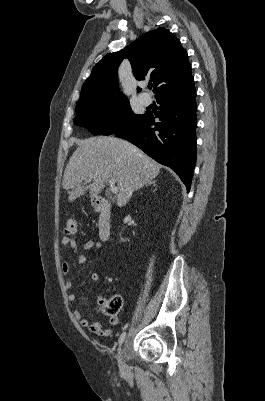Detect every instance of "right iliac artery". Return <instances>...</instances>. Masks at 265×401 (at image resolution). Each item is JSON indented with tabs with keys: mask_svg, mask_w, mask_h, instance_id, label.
Returning <instances> with one entry per match:
<instances>
[{
	"mask_svg": "<svg viewBox=\"0 0 265 401\" xmlns=\"http://www.w3.org/2000/svg\"><path fill=\"white\" fill-rule=\"evenodd\" d=\"M125 337H126V332H123V333L120 335L119 340H118V342H119L120 345L124 342Z\"/></svg>",
	"mask_w": 265,
	"mask_h": 401,
	"instance_id": "82829eb1",
	"label": "right iliac artery"
}]
</instances>
